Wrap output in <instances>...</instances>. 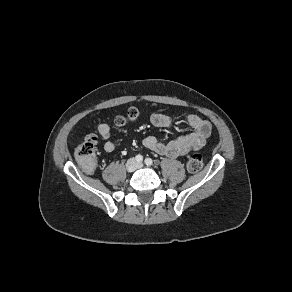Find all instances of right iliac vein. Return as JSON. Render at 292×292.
Segmentation results:
<instances>
[{
	"mask_svg": "<svg viewBox=\"0 0 292 292\" xmlns=\"http://www.w3.org/2000/svg\"><path fill=\"white\" fill-rule=\"evenodd\" d=\"M135 167H136V163L133 159L129 160L126 164V169L128 172H133L135 170Z\"/></svg>",
	"mask_w": 292,
	"mask_h": 292,
	"instance_id": "obj_1",
	"label": "right iliac vein"
}]
</instances>
